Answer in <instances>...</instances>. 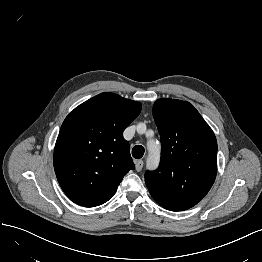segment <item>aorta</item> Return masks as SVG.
Returning <instances> with one entry per match:
<instances>
[{
    "instance_id": "1",
    "label": "aorta",
    "mask_w": 262,
    "mask_h": 262,
    "mask_svg": "<svg viewBox=\"0 0 262 262\" xmlns=\"http://www.w3.org/2000/svg\"><path fill=\"white\" fill-rule=\"evenodd\" d=\"M153 147L156 148V151H153ZM148 148L150 151V156L148 159V166L151 168H155L158 164V160H159V149H160V145L158 142H150L148 144Z\"/></svg>"
}]
</instances>
